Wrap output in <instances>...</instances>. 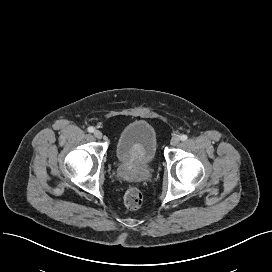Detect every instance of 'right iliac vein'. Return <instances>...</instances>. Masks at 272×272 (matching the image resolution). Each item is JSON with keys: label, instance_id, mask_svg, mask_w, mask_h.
<instances>
[{"label": "right iliac vein", "instance_id": "1", "mask_svg": "<svg viewBox=\"0 0 272 272\" xmlns=\"http://www.w3.org/2000/svg\"><path fill=\"white\" fill-rule=\"evenodd\" d=\"M94 136L97 138V139H101L103 137V134L100 130H95L94 131Z\"/></svg>", "mask_w": 272, "mask_h": 272}]
</instances>
